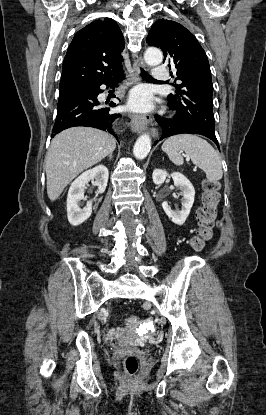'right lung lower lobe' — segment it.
I'll return each instance as SVG.
<instances>
[{
    "mask_svg": "<svg viewBox=\"0 0 266 415\" xmlns=\"http://www.w3.org/2000/svg\"><path fill=\"white\" fill-rule=\"evenodd\" d=\"M123 78L124 75L121 73L110 80L60 93L52 137L70 127L88 126L107 131L118 139L113 126L115 120L121 115L113 113L108 107L101 106L97 96L103 92L100 89L102 84L113 87ZM109 105L116 106L114 102H110Z\"/></svg>",
    "mask_w": 266,
    "mask_h": 415,
    "instance_id": "1",
    "label": "right lung lower lobe"
}]
</instances>
